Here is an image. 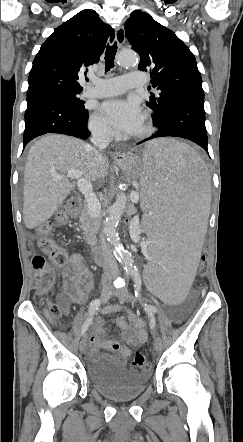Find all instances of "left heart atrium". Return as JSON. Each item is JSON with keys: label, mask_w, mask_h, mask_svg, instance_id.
<instances>
[{"label": "left heart atrium", "mask_w": 243, "mask_h": 442, "mask_svg": "<svg viewBox=\"0 0 243 442\" xmlns=\"http://www.w3.org/2000/svg\"><path fill=\"white\" fill-rule=\"evenodd\" d=\"M106 121L117 131L133 134L143 119L138 101L134 99H110L101 106Z\"/></svg>", "instance_id": "39dd6f15"}]
</instances>
